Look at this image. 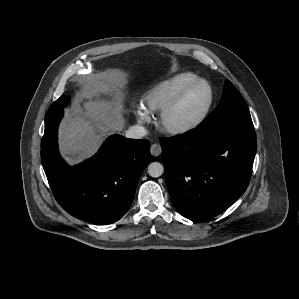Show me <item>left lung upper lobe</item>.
Here are the masks:
<instances>
[{
    "label": "left lung upper lobe",
    "instance_id": "1",
    "mask_svg": "<svg viewBox=\"0 0 299 299\" xmlns=\"http://www.w3.org/2000/svg\"><path fill=\"white\" fill-rule=\"evenodd\" d=\"M197 129L209 133L254 131L248 106L229 80L225 81L219 105Z\"/></svg>",
    "mask_w": 299,
    "mask_h": 299
}]
</instances>
